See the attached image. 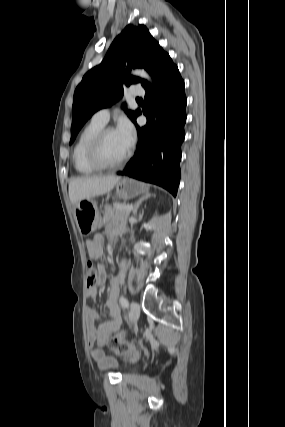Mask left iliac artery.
<instances>
[{
  "mask_svg": "<svg viewBox=\"0 0 285 427\" xmlns=\"http://www.w3.org/2000/svg\"><path fill=\"white\" fill-rule=\"evenodd\" d=\"M119 301H120V304H121V306L123 308H128L129 307V302H128V300L124 296H121L120 299H119Z\"/></svg>",
  "mask_w": 285,
  "mask_h": 427,
  "instance_id": "obj_1",
  "label": "left iliac artery"
}]
</instances>
